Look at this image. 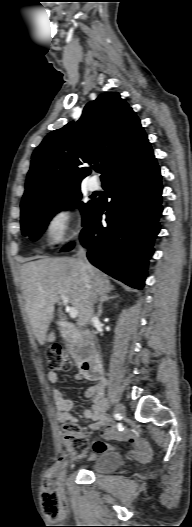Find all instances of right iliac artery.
<instances>
[{
	"label": "right iliac artery",
	"mask_w": 192,
	"mask_h": 527,
	"mask_svg": "<svg viewBox=\"0 0 192 527\" xmlns=\"http://www.w3.org/2000/svg\"><path fill=\"white\" fill-rule=\"evenodd\" d=\"M116 427H117V429H118L119 431H122V430L124 429V424H123L122 422H118V423L116 424Z\"/></svg>",
	"instance_id": "1"
}]
</instances>
